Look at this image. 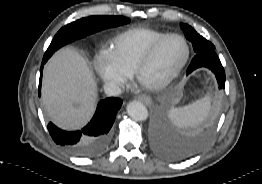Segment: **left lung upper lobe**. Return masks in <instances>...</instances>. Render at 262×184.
<instances>
[{
    "instance_id": "5c2ea615",
    "label": "left lung upper lobe",
    "mask_w": 262,
    "mask_h": 184,
    "mask_svg": "<svg viewBox=\"0 0 262 184\" xmlns=\"http://www.w3.org/2000/svg\"><path fill=\"white\" fill-rule=\"evenodd\" d=\"M181 28L185 37L192 43L195 53L215 49L211 42L199 35L190 25L181 23Z\"/></svg>"
}]
</instances>
